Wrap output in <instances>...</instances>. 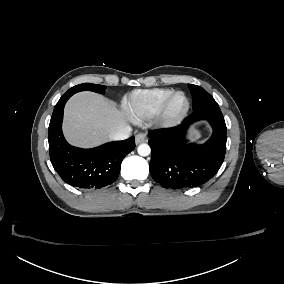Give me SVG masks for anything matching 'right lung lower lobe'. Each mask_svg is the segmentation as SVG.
<instances>
[{
    "label": "right lung lower lobe",
    "mask_w": 284,
    "mask_h": 284,
    "mask_svg": "<svg viewBox=\"0 0 284 284\" xmlns=\"http://www.w3.org/2000/svg\"><path fill=\"white\" fill-rule=\"evenodd\" d=\"M72 95H63L49 124L51 163L66 183L84 190H97L118 178L123 158L135 148V138L109 142L93 149L76 148L62 133L63 110Z\"/></svg>",
    "instance_id": "1"
}]
</instances>
